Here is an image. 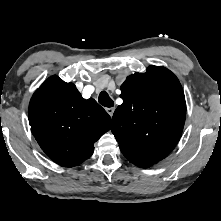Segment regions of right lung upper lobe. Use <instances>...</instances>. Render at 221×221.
<instances>
[{
    "label": "right lung upper lobe",
    "mask_w": 221,
    "mask_h": 221,
    "mask_svg": "<svg viewBox=\"0 0 221 221\" xmlns=\"http://www.w3.org/2000/svg\"><path fill=\"white\" fill-rule=\"evenodd\" d=\"M31 131L46 155L65 167L88 159L94 143L111 128V118L92 98L83 99L72 83L48 78L33 94Z\"/></svg>",
    "instance_id": "cb5924a9"
}]
</instances>
